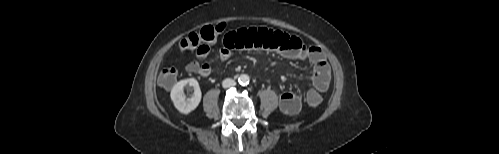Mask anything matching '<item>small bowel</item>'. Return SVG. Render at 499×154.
Segmentation results:
<instances>
[{"label": "small bowel", "instance_id": "obj_1", "mask_svg": "<svg viewBox=\"0 0 499 154\" xmlns=\"http://www.w3.org/2000/svg\"><path fill=\"white\" fill-rule=\"evenodd\" d=\"M219 51L222 61L228 60L235 50L261 49L275 51L291 60L308 61L313 65L312 84L314 90L325 92L329 88L331 69L323 51L317 46H306L298 37L264 27L240 28L225 34ZM210 52V45L204 43L196 49V57L204 59ZM187 72L208 77L211 67L206 63L192 61ZM279 106L287 115H294L301 109L299 96L287 91L281 94Z\"/></svg>", "mask_w": 499, "mask_h": 154}]
</instances>
